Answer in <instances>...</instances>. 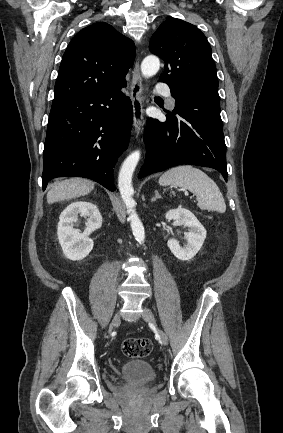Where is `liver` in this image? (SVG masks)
<instances>
[{
  "instance_id": "6515ba94",
  "label": "liver",
  "mask_w": 283,
  "mask_h": 433,
  "mask_svg": "<svg viewBox=\"0 0 283 433\" xmlns=\"http://www.w3.org/2000/svg\"><path fill=\"white\" fill-rule=\"evenodd\" d=\"M94 188V182L87 178H67V180H59L47 192V202H58V200H70L77 196H84Z\"/></svg>"
}]
</instances>
